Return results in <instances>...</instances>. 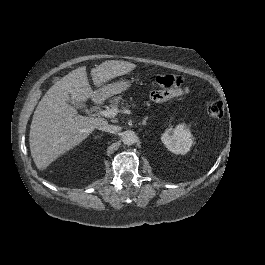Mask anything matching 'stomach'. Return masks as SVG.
Listing matches in <instances>:
<instances>
[{
	"label": "stomach",
	"mask_w": 265,
	"mask_h": 265,
	"mask_svg": "<svg viewBox=\"0 0 265 265\" xmlns=\"http://www.w3.org/2000/svg\"><path fill=\"white\" fill-rule=\"evenodd\" d=\"M129 87L128 81H120L118 83H109L107 85H103L98 91L103 92V95L105 97H109L118 93H121L122 91L126 90Z\"/></svg>",
	"instance_id": "obj_1"
}]
</instances>
